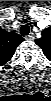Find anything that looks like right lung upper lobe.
<instances>
[{
    "label": "right lung upper lobe",
    "instance_id": "right-lung-upper-lobe-1",
    "mask_svg": "<svg viewBox=\"0 0 51 101\" xmlns=\"http://www.w3.org/2000/svg\"><path fill=\"white\" fill-rule=\"evenodd\" d=\"M23 41L24 38L19 34L0 29V65L5 64L11 59L16 47Z\"/></svg>",
    "mask_w": 51,
    "mask_h": 101
}]
</instances>
